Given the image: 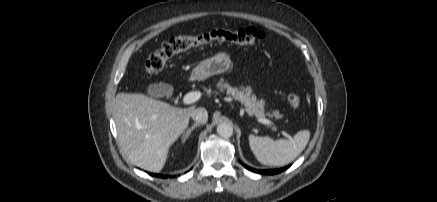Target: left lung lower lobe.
I'll use <instances>...</instances> for the list:
<instances>
[{"label": "left lung lower lobe", "mask_w": 437, "mask_h": 202, "mask_svg": "<svg viewBox=\"0 0 437 202\" xmlns=\"http://www.w3.org/2000/svg\"><path fill=\"white\" fill-rule=\"evenodd\" d=\"M243 164V163H242ZM244 165V164H243ZM246 169L252 171V172H256L259 174H269V175H273V174H277V173H281L284 170H286L289 166L284 167V168H280V169H271V170H257V169H253L251 167H248L247 165H244Z\"/></svg>", "instance_id": "left-lung-lower-lobe-1"}]
</instances>
